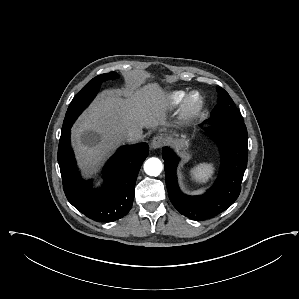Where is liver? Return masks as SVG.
<instances>
[{
    "mask_svg": "<svg viewBox=\"0 0 299 299\" xmlns=\"http://www.w3.org/2000/svg\"><path fill=\"white\" fill-rule=\"evenodd\" d=\"M166 99L156 84L124 91L105 90L82 115L75 130L77 159L91 170L116 146L126 140L131 129H155L165 124Z\"/></svg>",
    "mask_w": 299,
    "mask_h": 299,
    "instance_id": "6515ba94",
    "label": "liver"
}]
</instances>
